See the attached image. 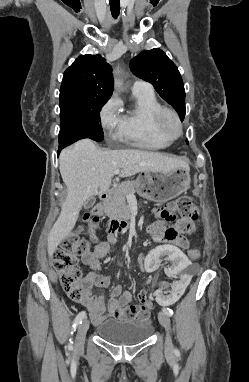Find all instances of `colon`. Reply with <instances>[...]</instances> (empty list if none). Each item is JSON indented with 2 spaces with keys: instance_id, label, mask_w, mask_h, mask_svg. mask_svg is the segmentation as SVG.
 <instances>
[{
  "instance_id": "colon-1",
  "label": "colon",
  "mask_w": 249,
  "mask_h": 382,
  "mask_svg": "<svg viewBox=\"0 0 249 382\" xmlns=\"http://www.w3.org/2000/svg\"><path fill=\"white\" fill-rule=\"evenodd\" d=\"M160 217L169 218L172 214H179L186 217L198 218V211L191 198L181 196L174 201L168 203L164 208L155 210ZM102 213L100 205L95 206L86 216L85 222L93 226L95 225ZM94 240V239H92ZM90 242L73 234L67 237L61 249L54 253L53 263L55 269L61 274L60 283L70 299L76 302L82 301L86 297V284L83 281L84 275L78 266V256L89 250ZM187 255L190 259L195 260L199 257L200 252L196 248L188 250ZM140 304L147 302L145 291H141L138 295Z\"/></svg>"
}]
</instances>
